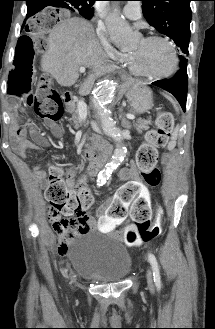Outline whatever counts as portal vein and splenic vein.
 <instances>
[{
	"label": "portal vein and splenic vein",
	"instance_id": "obj_1",
	"mask_svg": "<svg viewBox=\"0 0 215 329\" xmlns=\"http://www.w3.org/2000/svg\"><path fill=\"white\" fill-rule=\"evenodd\" d=\"M85 70H86V68L84 66H81L79 68L80 72H85ZM77 110H78V113H79V116H80L81 119H86L87 118V105L84 101H78L77 102ZM126 117L130 120L135 119V116L131 115V114H127Z\"/></svg>",
	"mask_w": 215,
	"mask_h": 329
}]
</instances>
